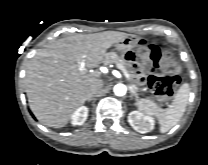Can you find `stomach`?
Here are the masks:
<instances>
[{
    "mask_svg": "<svg viewBox=\"0 0 208 165\" xmlns=\"http://www.w3.org/2000/svg\"><path fill=\"white\" fill-rule=\"evenodd\" d=\"M139 39L133 37H126L116 43V48L121 52H127L134 49L138 45Z\"/></svg>",
    "mask_w": 208,
    "mask_h": 165,
    "instance_id": "obj_1",
    "label": "stomach"
}]
</instances>
